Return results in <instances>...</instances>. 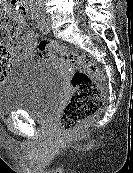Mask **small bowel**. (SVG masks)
Returning <instances> with one entry per match:
<instances>
[{"instance_id":"1","label":"small bowel","mask_w":133,"mask_h":173,"mask_svg":"<svg viewBox=\"0 0 133 173\" xmlns=\"http://www.w3.org/2000/svg\"><path fill=\"white\" fill-rule=\"evenodd\" d=\"M13 6H16L12 3ZM13 20L16 23V30L13 33V40L10 42L8 52L10 56L31 57L36 51V37L32 31H26L23 34L18 32V28L22 23V17L14 15Z\"/></svg>"}]
</instances>
